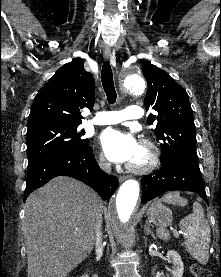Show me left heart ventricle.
<instances>
[{
	"label": "left heart ventricle",
	"mask_w": 221,
	"mask_h": 277,
	"mask_svg": "<svg viewBox=\"0 0 221 277\" xmlns=\"http://www.w3.org/2000/svg\"><path fill=\"white\" fill-rule=\"evenodd\" d=\"M146 161V153L145 150L139 146V150L136 154V156L134 157V159L130 162L133 164H142Z\"/></svg>",
	"instance_id": "b2bd125f"
}]
</instances>
